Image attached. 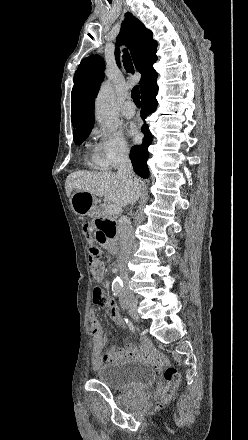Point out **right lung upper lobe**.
Returning <instances> with one entry per match:
<instances>
[{
    "mask_svg": "<svg viewBox=\"0 0 248 440\" xmlns=\"http://www.w3.org/2000/svg\"><path fill=\"white\" fill-rule=\"evenodd\" d=\"M152 32L147 29L131 13L125 14L117 44H126L136 69L141 73V95L150 87L156 85L157 73L153 64L157 61V42L152 39ZM118 66L119 51L115 50ZM103 60L98 55H92L81 61L74 75V86L71 99V121L73 134L92 130L94 125V98L97 95L104 77Z\"/></svg>",
    "mask_w": 248,
    "mask_h": 440,
    "instance_id": "right-lung-upper-lobe-1",
    "label": "right lung upper lobe"
}]
</instances>
